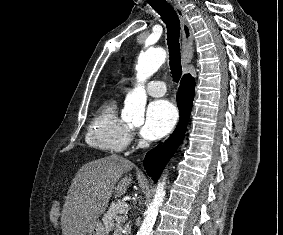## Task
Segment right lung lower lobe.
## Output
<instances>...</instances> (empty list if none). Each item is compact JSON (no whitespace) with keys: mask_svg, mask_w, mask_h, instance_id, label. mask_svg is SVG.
Masks as SVG:
<instances>
[{"mask_svg":"<svg viewBox=\"0 0 283 235\" xmlns=\"http://www.w3.org/2000/svg\"><path fill=\"white\" fill-rule=\"evenodd\" d=\"M195 82L191 75H185L180 83L177 95V105L180 112V121L169 139L162 145L149 151L144 159V168L149 176L157 182L163 168L180 144L186 123L192 108Z\"/></svg>","mask_w":283,"mask_h":235,"instance_id":"right-lung-lower-lobe-1","label":"right lung lower lobe"}]
</instances>
